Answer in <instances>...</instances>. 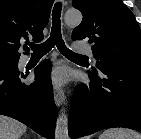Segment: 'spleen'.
Segmentation results:
<instances>
[{
    "label": "spleen",
    "instance_id": "obj_1",
    "mask_svg": "<svg viewBox=\"0 0 141 139\" xmlns=\"http://www.w3.org/2000/svg\"><path fill=\"white\" fill-rule=\"evenodd\" d=\"M99 139H141V135L126 128H110L105 130Z\"/></svg>",
    "mask_w": 141,
    "mask_h": 139
}]
</instances>
